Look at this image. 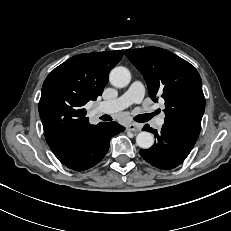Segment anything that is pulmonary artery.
I'll use <instances>...</instances> for the list:
<instances>
[{"mask_svg":"<svg viewBox=\"0 0 231 231\" xmlns=\"http://www.w3.org/2000/svg\"><path fill=\"white\" fill-rule=\"evenodd\" d=\"M145 94V88L139 81H135L120 97L104 101L99 104V109L104 112L114 113L121 111L132 104H139L142 102ZM164 123V116L161 115L157 118L156 124L161 127Z\"/></svg>","mask_w":231,"mask_h":231,"instance_id":"e3ab8cb5","label":"pulmonary artery"}]
</instances>
